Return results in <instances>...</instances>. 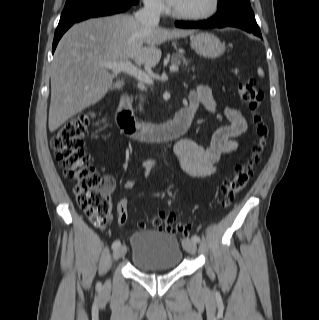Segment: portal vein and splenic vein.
Wrapping results in <instances>:
<instances>
[{"mask_svg":"<svg viewBox=\"0 0 319 320\" xmlns=\"http://www.w3.org/2000/svg\"><path fill=\"white\" fill-rule=\"evenodd\" d=\"M101 65L105 68H108L113 71L114 74H119L121 72L128 73L140 81L147 83V84H153L152 78L145 72H143L140 68L137 66H134L130 61L125 62H103ZM171 72H177L178 67L175 65H172L170 67Z\"/></svg>","mask_w":319,"mask_h":320,"instance_id":"1","label":"portal vein and splenic vein"}]
</instances>
